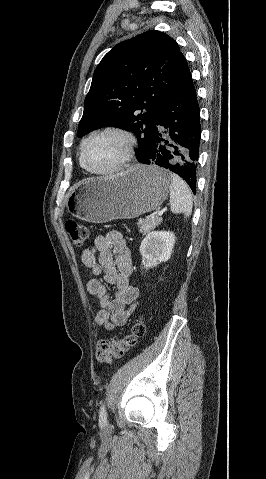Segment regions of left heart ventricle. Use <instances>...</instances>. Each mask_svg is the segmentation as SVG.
<instances>
[{
    "label": "left heart ventricle",
    "instance_id": "b2bd125f",
    "mask_svg": "<svg viewBox=\"0 0 266 479\" xmlns=\"http://www.w3.org/2000/svg\"><path fill=\"white\" fill-rule=\"evenodd\" d=\"M126 141L116 134H105L94 139L87 151L88 165L99 171L116 166L124 155Z\"/></svg>",
    "mask_w": 266,
    "mask_h": 479
}]
</instances>
